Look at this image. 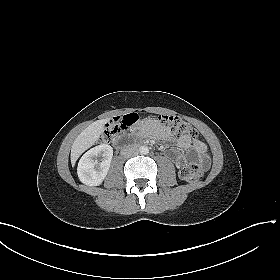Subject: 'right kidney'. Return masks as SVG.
I'll list each match as a JSON object with an SVG mask.
<instances>
[{
  "mask_svg": "<svg viewBox=\"0 0 280 280\" xmlns=\"http://www.w3.org/2000/svg\"><path fill=\"white\" fill-rule=\"evenodd\" d=\"M102 155V162L95 160ZM113 157V148L108 144L98 145L87 151L80 159L77 174L80 181L88 186H98L105 179Z\"/></svg>",
  "mask_w": 280,
  "mask_h": 280,
  "instance_id": "1",
  "label": "right kidney"
}]
</instances>
